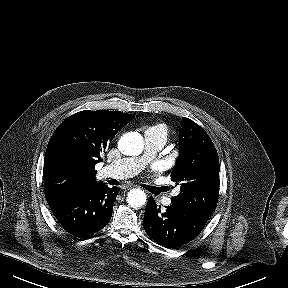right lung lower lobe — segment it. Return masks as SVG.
Returning <instances> with one entry per match:
<instances>
[{
  "label": "right lung lower lobe",
  "mask_w": 288,
  "mask_h": 288,
  "mask_svg": "<svg viewBox=\"0 0 288 288\" xmlns=\"http://www.w3.org/2000/svg\"><path fill=\"white\" fill-rule=\"evenodd\" d=\"M118 192L117 187L100 183L47 202L62 227L80 238L96 233L109 223Z\"/></svg>",
  "instance_id": "1"
}]
</instances>
